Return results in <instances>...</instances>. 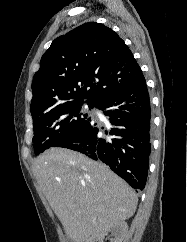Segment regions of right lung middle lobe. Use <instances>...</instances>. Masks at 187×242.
<instances>
[{"label": "right lung middle lobe", "mask_w": 187, "mask_h": 242, "mask_svg": "<svg viewBox=\"0 0 187 242\" xmlns=\"http://www.w3.org/2000/svg\"><path fill=\"white\" fill-rule=\"evenodd\" d=\"M82 104V101L64 104L33 117V143L36 155L72 134L88 119L87 114L80 111ZM87 104L90 107L95 106Z\"/></svg>", "instance_id": "1"}]
</instances>
